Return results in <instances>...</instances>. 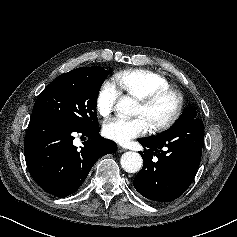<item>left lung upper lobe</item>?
I'll return each instance as SVG.
<instances>
[{
	"label": "left lung upper lobe",
	"mask_w": 237,
	"mask_h": 237,
	"mask_svg": "<svg viewBox=\"0 0 237 237\" xmlns=\"http://www.w3.org/2000/svg\"><path fill=\"white\" fill-rule=\"evenodd\" d=\"M197 112L194 108H185L182 115L179 117V119L174 123V125L167 131L162 132L161 134H158L156 136L150 137V139L156 140L160 139L166 135L171 134L173 131L181 127L183 124H185L187 121L196 118Z\"/></svg>",
	"instance_id": "1"
}]
</instances>
